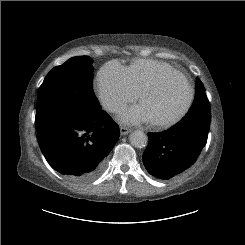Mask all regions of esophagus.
<instances>
[{
    "label": "esophagus",
    "mask_w": 245,
    "mask_h": 245,
    "mask_svg": "<svg viewBox=\"0 0 245 245\" xmlns=\"http://www.w3.org/2000/svg\"><path fill=\"white\" fill-rule=\"evenodd\" d=\"M131 132V129L130 128H128V127H126V126H121L120 127V134L121 135H127L128 133H130Z\"/></svg>",
    "instance_id": "34e87169"
}]
</instances>
